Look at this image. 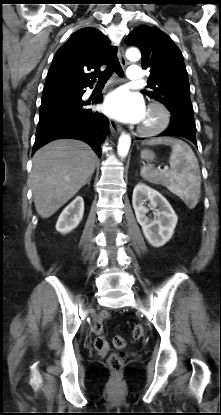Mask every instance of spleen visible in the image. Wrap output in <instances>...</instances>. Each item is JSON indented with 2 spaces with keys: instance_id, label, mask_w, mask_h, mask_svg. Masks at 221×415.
<instances>
[{
  "instance_id": "spleen-1",
  "label": "spleen",
  "mask_w": 221,
  "mask_h": 415,
  "mask_svg": "<svg viewBox=\"0 0 221 415\" xmlns=\"http://www.w3.org/2000/svg\"><path fill=\"white\" fill-rule=\"evenodd\" d=\"M148 145L165 144L172 147L170 169L141 168V176L152 184H161L170 192L179 196L187 206L193 208L200 198L201 176L198 160L191 147L181 140L157 138L146 142Z\"/></svg>"
}]
</instances>
